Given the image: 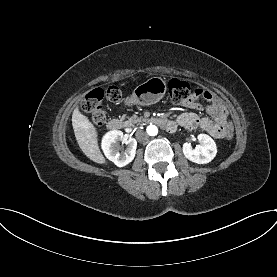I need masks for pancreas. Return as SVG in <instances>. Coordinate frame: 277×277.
<instances>
[{
  "mask_svg": "<svg viewBox=\"0 0 277 277\" xmlns=\"http://www.w3.org/2000/svg\"><path fill=\"white\" fill-rule=\"evenodd\" d=\"M141 124H142V119L135 115L129 117L128 120L125 121V125L128 127H133L135 125H141Z\"/></svg>",
  "mask_w": 277,
  "mask_h": 277,
  "instance_id": "obj_1",
  "label": "pancreas"
}]
</instances>
